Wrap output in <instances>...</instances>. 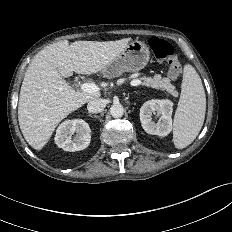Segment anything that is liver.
<instances>
[{
	"instance_id": "1",
	"label": "liver",
	"mask_w": 232,
	"mask_h": 232,
	"mask_svg": "<svg viewBox=\"0 0 232 232\" xmlns=\"http://www.w3.org/2000/svg\"><path fill=\"white\" fill-rule=\"evenodd\" d=\"M131 38L116 41L67 40L41 50L30 63L22 82L18 121L28 144L41 150L59 122L100 92L75 91L63 77L102 71L128 45Z\"/></svg>"
}]
</instances>
